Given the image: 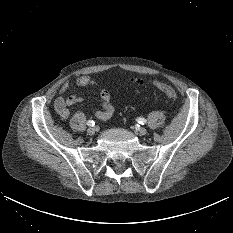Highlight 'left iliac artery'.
<instances>
[{
	"label": "left iliac artery",
	"mask_w": 233,
	"mask_h": 233,
	"mask_svg": "<svg viewBox=\"0 0 233 233\" xmlns=\"http://www.w3.org/2000/svg\"><path fill=\"white\" fill-rule=\"evenodd\" d=\"M137 121L139 124H142V125H144L147 122L146 119L144 118H138Z\"/></svg>",
	"instance_id": "1"
}]
</instances>
